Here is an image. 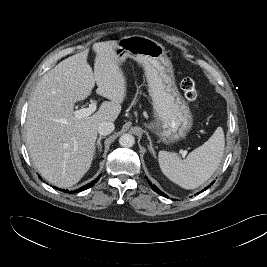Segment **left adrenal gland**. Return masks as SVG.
<instances>
[{
	"mask_svg": "<svg viewBox=\"0 0 267 267\" xmlns=\"http://www.w3.org/2000/svg\"><path fill=\"white\" fill-rule=\"evenodd\" d=\"M146 135H147V139L149 140V151L153 154L154 157H156L155 150L152 146L151 138L147 132H146Z\"/></svg>",
	"mask_w": 267,
	"mask_h": 267,
	"instance_id": "left-adrenal-gland-1",
	"label": "left adrenal gland"
}]
</instances>
